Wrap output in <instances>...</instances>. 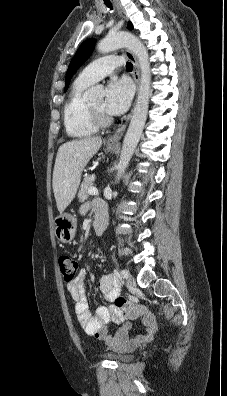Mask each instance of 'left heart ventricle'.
<instances>
[{"mask_svg": "<svg viewBox=\"0 0 227 396\" xmlns=\"http://www.w3.org/2000/svg\"><path fill=\"white\" fill-rule=\"evenodd\" d=\"M91 105L99 110H103V101L102 100H97L95 102H92Z\"/></svg>", "mask_w": 227, "mask_h": 396, "instance_id": "1", "label": "left heart ventricle"}]
</instances>
